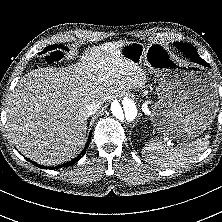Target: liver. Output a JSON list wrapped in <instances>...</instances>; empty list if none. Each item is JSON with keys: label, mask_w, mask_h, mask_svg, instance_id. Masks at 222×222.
Instances as JSON below:
<instances>
[{"label": "liver", "mask_w": 222, "mask_h": 222, "mask_svg": "<svg viewBox=\"0 0 222 222\" xmlns=\"http://www.w3.org/2000/svg\"><path fill=\"white\" fill-rule=\"evenodd\" d=\"M124 43L88 48L67 68H38L19 80L8 99L7 129L22 154L46 166L73 159L86 143L85 106L145 86V71L118 50Z\"/></svg>", "instance_id": "1"}]
</instances>
